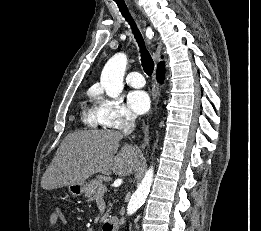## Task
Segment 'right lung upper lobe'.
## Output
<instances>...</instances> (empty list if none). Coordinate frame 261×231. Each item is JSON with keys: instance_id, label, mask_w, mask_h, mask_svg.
<instances>
[{"instance_id": "cb5924a9", "label": "right lung upper lobe", "mask_w": 261, "mask_h": 231, "mask_svg": "<svg viewBox=\"0 0 261 231\" xmlns=\"http://www.w3.org/2000/svg\"><path fill=\"white\" fill-rule=\"evenodd\" d=\"M162 65H164V62H160V63L158 64V67H161Z\"/></svg>"}]
</instances>
